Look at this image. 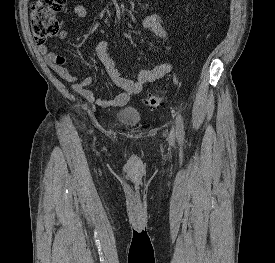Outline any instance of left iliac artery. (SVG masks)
Segmentation results:
<instances>
[{"instance_id":"1","label":"left iliac artery","mask_w":275,"mask_h":263,"mask_svg":"<svg viewBox=\"0 0 275 263\" xmlns=\"http://www.w3.org/2000/svg\"><path fill=\"white\" fill-rule=\"evenodd\" d=\"M177 135L179 140H184L185 132H184V124L181 115L177 117Z\"/></svg>"}]
</instances>
